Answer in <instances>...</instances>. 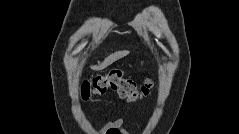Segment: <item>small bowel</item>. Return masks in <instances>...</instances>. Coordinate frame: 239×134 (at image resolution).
I'll return each instance as SVG.
<instances>
[{
	"label": "small bowel",
	"instance_id": "small-bowel-1",
	"mask_svg": "<svg viewBox=\"0 0 239 134\" xmlns=\"http://www.w3.org/2000/svg\"><path fill=\"white\" fill-rule=\"evenodd\" d=\"M102 134H126L123 129V120L121 118L115 119L104 128L101 129Z\"/></svg>",
	"mask_w": 239,
	"mask_h": 134
}]
</instances>
